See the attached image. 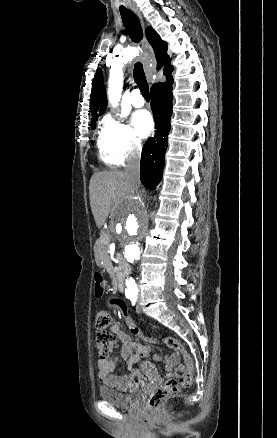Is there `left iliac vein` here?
<instances>
[{"label":"left iliac vein","instance_id":"left-iliac-vein-1","mask_svg":"<svg viewBox=\"0 0 277 438\" xmlns=\"http://www.w3.org/2000/svg\"><path fill=\"white\" fill-rule=\"evenodd\" d=\"M141 311H142V309H141L140 304H137V306H136V312H137V313H141Z\"/></svg>","mask_w":277,"mask_h":438}]
</instances>
